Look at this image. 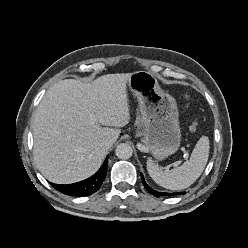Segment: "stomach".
<instances>
[{
  "label": "stomach",
  "mask_w": 248,
  "mask_h": 248,
  "mask_svg": "<svg viewBox=\"0 0 248 248\" xmlns=\"http://www.w3.org/2000/svg\"><path fill=\"white\" fill-rule=\"evenodd\" d=\"M127 83L138 99L144 124L143 144L156 160L174 154L181 142L176 100L160 88L156 77L150 72H133Z\"/></svg>",
  "instance_id": "1"
}]
</instances>
